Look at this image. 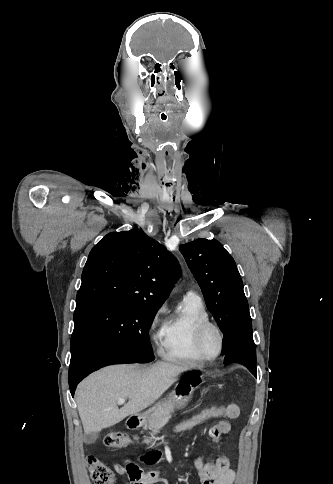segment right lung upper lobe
I'll list each match as a JSON object with an SVG mask.
<instances>
[{
	"label": "right lung upper lobe",
	"instance_id": "right-lung-upper-lobe-1",
	"mask_svg": "<svg viewBox=\"0 0 333 484\" xmlns=\"http://www.w3.org/2000/svg\"><path fill=\"white\" fill-rule=\"evenodd\" d=\"M180 276L167 249L140 229L111 232L89 253L76 304L92 300L139 303L160 308Z\"/></svg>",
	"mask_w": 333,
	"mask_h": 484
}]
</instances>
